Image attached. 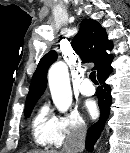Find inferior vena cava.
Returning <instances> with one entry per match:
<instances>
[{
  "label": "inferior vena cava",
  "instance_id": "inferior-vena-cava-1",
  "mask_svg": "<svg viewBox=\"0 0 130 153\" xmlns=\"http://www.w3.org/2000/svg\"><path fill=\"white\" fill-rule=\"evenodd\" d=\"M86 130L84 123L77 124L67 135L62 153H81L84 148Z\"/></svg>",
  "mask_w": 130,
  "mask_h": 153
}]
</instances>
